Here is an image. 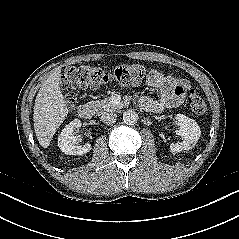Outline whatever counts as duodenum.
<instances>
[{
  "mask_svg": "<svg viewBox=\"0 0 239 239\" xmlns=\"http://www.w3.org/2000/svg\"><path fill=\"white\" fill-rule=\"evenodd\" d=\"M94 109L90 104H81L78 107V114L83 119H91Z\"/></svg>",
  "mask_w": 239,
  "mask_h": 239,
  "instance_id": "obj_1",
  "label": "duodenum"
}]
</instances>
